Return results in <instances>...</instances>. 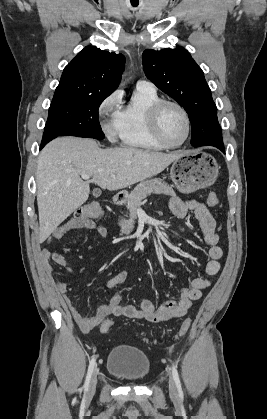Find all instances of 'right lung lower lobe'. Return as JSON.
Returning a JSON list of instances; mask_svg holds the SVG:
<instances>
[{
	"label": "right lung lower lobe",
	"instance_id": "1",
	"mask_svg": "<svg viewBox=\"0 0 267 419\" xmlns=\"http://www.w3.org/2000/svg\"><path fill=\"white\" fill-rule=\"evenodd\" d=\"M52 139H54V136H49V137H44L43 136V139H42L41 147L40 148L42 149Z\"/></svg>",
	"mask_w": 267,
	"mask_h": 419
}]
</instances>
